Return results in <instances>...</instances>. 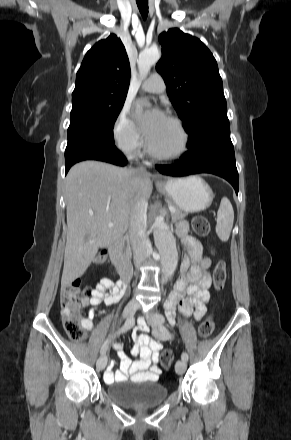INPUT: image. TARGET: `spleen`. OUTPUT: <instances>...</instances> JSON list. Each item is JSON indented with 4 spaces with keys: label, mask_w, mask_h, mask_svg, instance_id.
Segmentation results:
<instances>
[{
    "label": "spleen",
    "mask_w": 291,
    "mask_h": 440,
    "mask_svg": "<svg viewBox=\"0 0 291 440\" xmlns=\"http://www.w3.org/2000/svg\"><path fill=\"white\" fill-rule=\"evenodd\" d=\"M234 222V211L227 197L221 199L217 212L216 233L223 242L228 241Z\"/></svg>",
    "instance_id": "obj_1"
}]
</instances>
